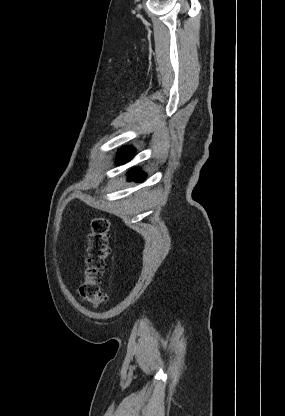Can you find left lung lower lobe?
<instances>
[{
  "label": "left lung lower lobe",
  "instance_id": "obj_1",
  "mask_svg": "<svg viewBox=\"0 0 285 416\" xmlns=\"http://www.w3.org/2000/svg\"><path fill=\"white\" fill-rule=\"evenodd\" d=\"M134 153H135V151L130 147H124V148L120 149L118 151V162L120 164H123V163L129 161L133 157ZM132 172H133V175L129 180H134V181H142L143 180V177H144L143 173L137 171L136 169L133 170Z\"/></svg>",
  "mask_w": 285,
  "mask_h": 416
}]
</instances>
